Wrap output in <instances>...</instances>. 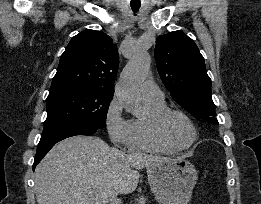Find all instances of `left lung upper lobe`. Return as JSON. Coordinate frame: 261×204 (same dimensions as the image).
<instances>
[{
	"instance_id": "obj_1",
	"label": "left lung upper lobe",
	"mask_w": 261,
	"mask_h": 204,
	"mask_svg": "<svg viewBox=\"0 0 261 204\" xmlns=\"http://www.w3.org/2000/svg\"><path fill=\"white\" fill-rule=\"evenodd\" d=\"M155 58L159 75L172 98L195 118L218 125L211 79L195 42L180 31L158 36Z\"/></svg>"
}]
</instances>
